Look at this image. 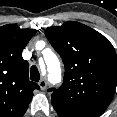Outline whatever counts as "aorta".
I'll return each mask as SVG.
<instances>
[{"label":"aorta","instance_id":"762f6f07","mask_svg":"<svg viewBox=\"0 0 117 117\" xmlns=\"http://www.w3.org/2000/svg\"><path fill=\"white\" fill-rule=\"evenodd\" d=\"M45 63L48 67L49 77L52 81L58 80L60 78V62L57 56L53 52H48L44 55Z\"/></svg>","mask_w":117,"mask_h":117}]
</instances>
